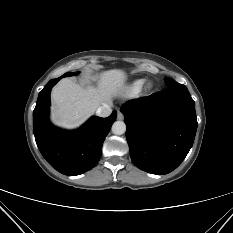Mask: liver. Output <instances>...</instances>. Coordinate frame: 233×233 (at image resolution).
Returning a JSON list of instances; mask_svg holds the SVG:
<instances>
[{"instance_id": "liver-1", "label": "liver", "mask_w": 233, "mask_h": 233, "mask_svg": "<svg viewBox=\"0 0 233 233\" xmlns=\"http://www.w3.org/2000/svg\"><path fill=\"white\" fill-rule=\"evenodd\" d=\"M125 81L126 74L117 69L101 73L96 88L84 89L71 79H62L51 93L52 121L67 129L80 126L98 107L110 105L112 97L124 89Z\"/></svg>"}]
</instances>
